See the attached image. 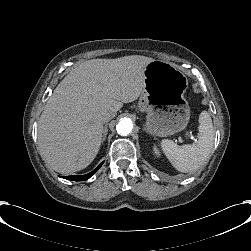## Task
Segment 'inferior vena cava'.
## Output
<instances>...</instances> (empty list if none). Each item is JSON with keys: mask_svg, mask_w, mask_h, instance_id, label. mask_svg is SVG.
Masks as SVG:
<instances>
[{"mask_svg": "<svg viewBox=\"0 0 251 251\" xmlns=\"http://www.w3.org/2000/svg\"><path fill=\"white\" fill-rule=\"evenodd\" d=\"M114 117H115V113H111V114H109V115L103 117V121H104V122H107V121H109L110 119H112V118H114Z\"/></svg>", "mask_w": 251, "mask_h": 251, "instance_id": "inferior-vena-cava-1", "label": "inferior vena cava"}]
</instances>
